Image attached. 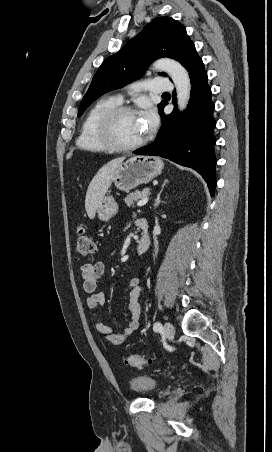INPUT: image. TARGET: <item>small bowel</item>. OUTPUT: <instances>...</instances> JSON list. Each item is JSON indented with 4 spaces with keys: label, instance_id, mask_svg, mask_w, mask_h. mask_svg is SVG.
<instances>
[{
    "label": "small bowel",
    "instance_id": "obj_1",
    "mask_svg": "<svg viewBox=\"0 0 272 452\" xmlns=\"http://www.w3.org/2000/svg\"><path fill=\"white\" fill-rule=\"evenodd\" d=\"M105 273V264L102 261L94 263H85L80 266L82 287L88 295L86 304L91 311L94 320V326L100 334L101 339L110 345H121L124 341L139 328L141 307L140 297L143 294V287L138 278L129 281L128 289V313L129 323L122 332H114L111 327L100 321L98 308L105 303L106 297L103 292H97V282Z\"/></svg>",
    "mask_w": 272,
    "mask_h": 452
}]
</instances>
